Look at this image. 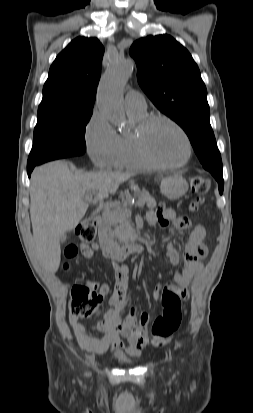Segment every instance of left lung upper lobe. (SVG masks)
<instances>
[{"label": "left lung upper lobe", "instance_id": "5c2ea615", "mask_svg": "<svg viewBox=\"0 0 253 413\" xmlns=\"http://www.w3.org/2000/svg\"><path fill=\"white\" fill-rule=\"evenodd\" d=\"M130 55L137 64L139 85L161 112L184 129L203 168L222 173L207 90L190 53L165 34L135 41Z\"/></svg>", "mask_w": 253, "mask_h": 413}]
</instances>
